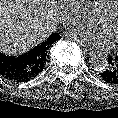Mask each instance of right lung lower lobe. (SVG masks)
<instances>
[{
  "mask_svg": "<svg viewBox=\"0 0 118 118\" xmlns=\"http://www.w3.org/2000/svg\"><path fill=\"white\" fill-rule=\"evenodd\" d=\"M37 60L32 50L18 57L0 53V75L14 82H27L42 71L37 68Z\"/></svg>",
  "mask_w": 118,
  "mask_h": 118,
  "instance_id": "obj_1",
  "label": "right lung lower lobe"
}]
</instances>
